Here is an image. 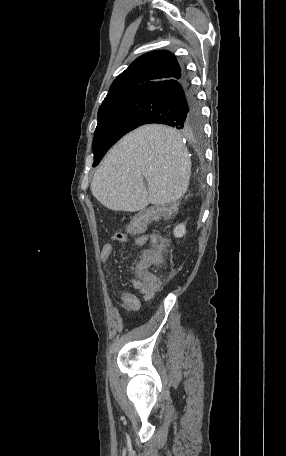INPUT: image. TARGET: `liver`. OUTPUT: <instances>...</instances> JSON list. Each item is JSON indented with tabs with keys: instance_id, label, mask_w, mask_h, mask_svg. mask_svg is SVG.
I'll use <instances>...</instances> for the list:
<instances>
[{
	"instance_id": "liver-1",
	"label": "liver",
	"mask_w": 286,
	"mask_h": 456,
	"mask_svg": "<svg viewBox=\"0 0 286 456\" xmlns=\"http://www.w3.org/2000/svg\"><path fill=\"white\" fill-rule=\"evenodd\" d=\"M190 174L191 160L182 135L165 125H144L109 151L90 189L105 207L136 212L150 203L165 205L180 199L188 189Z\"/></svg>"
}]
</instances>
